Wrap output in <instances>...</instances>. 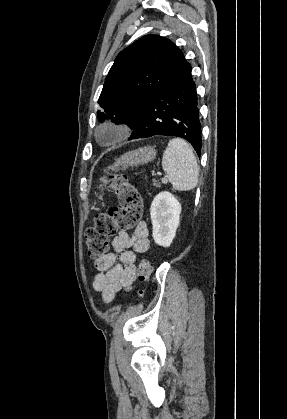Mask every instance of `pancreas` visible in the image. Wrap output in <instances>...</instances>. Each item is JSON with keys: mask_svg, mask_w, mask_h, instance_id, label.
Returning a JSON list of instances; mask_svg holds the SVG:
<instances>
[{"mask_svg": "<svg viewBox=\"0 0 287 419\" xmlns=\"http://www.w3.org/2000/svg\"><path fill=\"white\" fill-rule=\"evenodd\" d=\"M153 185L156 186V187H159L160 186V183L157 182L156 180H153Z\"/></svg>", "mask_w": 287, "mask_h": 419, "instance_id": "obj_1", "label": "pancreas"}]
</instances>
